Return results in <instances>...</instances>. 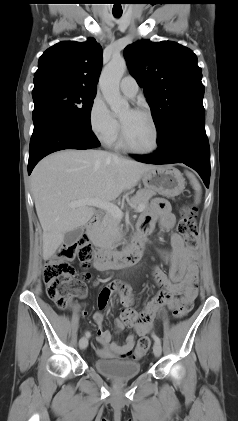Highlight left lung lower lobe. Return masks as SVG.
I'll return each mask as SVG.
<instances>
[{"label":"left lung lower lobe","mask_w":238,"mask_h":421,"mask_svg":"<svg viewBox=\"0 0 238 421\" xmlns=\"http://www.w3.org/2000/svg\"><path fill=\"white\" fill-rule=\"evenodd\" d=\"M157 142L159 147L154 154L131 156L148 164L184 163L196 170L206 187L209 186L210 149L205 132V113L182 118Z\"/></svg>","instance_id":"1"}]
</instances>
